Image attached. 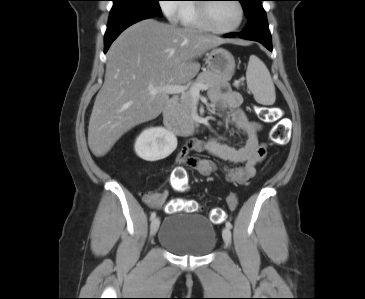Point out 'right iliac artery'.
Instances as JSON below:
<instances>
[{"instance_id":"right-iliac-artery-1","label":"right iliac artery","mask_w":365,"mask_h":299,"mask_svg":"<svg viewBox=\"0 0 365 299\" xmlns=\"http://www.w3.org/2000/svg\"><path fill=\"white\" fill-rule=\"evenodd\" d=\"M155 217H156V212H152L150 216L151 220H153Z\"/></svg>"}]
</instances>
